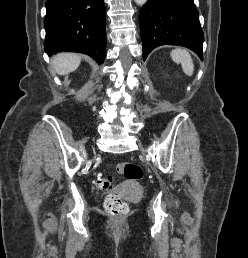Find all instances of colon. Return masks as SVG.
Segmentation results:
<instances>
[{
  "mask_svg": "<svg viewBox=\"0 0 248 258\" xmlns=\"http://www.w3.org/2000/svg\"><path fill=\"white\" fill-rule=\"evenodd\" d=\"M118 174L123 175L126 179L131 181H140L144 172L140 165L132 162H120L116 165ZM95 185L101 190H112L113 179L111 177L97 176L95 178ZM106 211L112 216H122L128 210L127 203L117 194H110L106 197L104 203Z\"/></svg>",
  "mask_w": 248,
  "mask_h": 258,
  "instance_id": "colon-1",
  "label": "colon"
}]
</instances>
